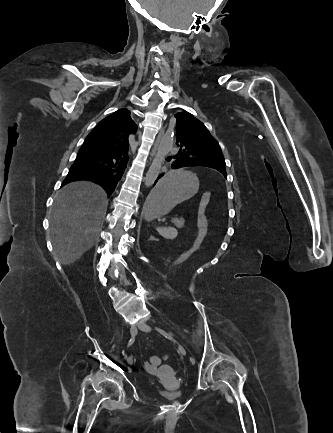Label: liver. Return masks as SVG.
I'll return each mask as SVG.
<instances>
[{
    "label": "liver",
    "instance_id": "liver-1",
    "mask_svg": "<svg viewBox=\"0 0 333 433\" xmlns=\"http://www.w3.org/2000/svg\"><path fill=\"white\" fill-rule=\"evenodd\" d=\"M108 205L102 187L88 181L72 182L55 197L50 229L55 254L63 265L78 260L97 242Z\"/></svg>",
    "mask_w": 333,
    "mask_h": 433
}]
</instances>
